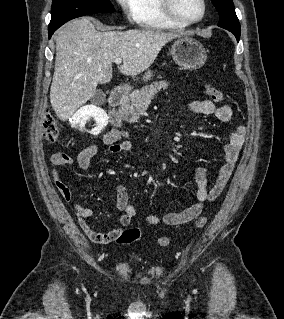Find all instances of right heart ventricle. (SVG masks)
<instances>
[{"label":"right heart ventricle","mask_w":284,"mask_h":319,"mask_svg":"<svg viewBox=\"0 0 284 319\" xmlns=\"http://www.w3.org/2000/svg\"><path fill=\"white\" fill-rule=\"evenodd\" d=\"M136 23L144 29H181L185 27L165 15L161 0H138Z\"/></svg>","instance_id":"right-heart-ventricle-1"}]
</instances>
